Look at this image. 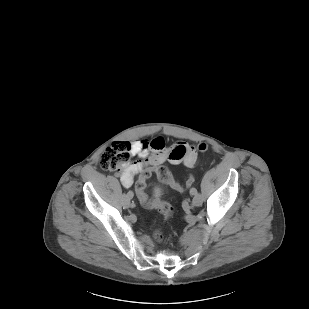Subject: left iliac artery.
I'll return each mask as SVG.
<instances>
[{"mask_svg":"<svg viewBox=\"0 0 309 309\" xmlns=\"http://www.w3.org/2000/svg\"><path fill=\"white\" fill-rule=\"evenodd\" d=\"M190 194H191V195L197 194V190H196L195 188H192V189L190 190Z\"/></svg>","mask_w":309,"mask_h":309,"instance_id":"obj_1","label":"left iliac artery"}]
</instances>
